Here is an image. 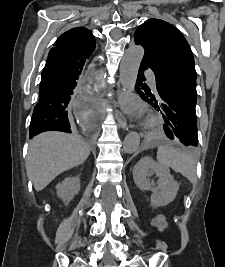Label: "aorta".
Masks as SVG:
<instances>
[{
  "mask_svg": "<svg viewBox=\"0 0 225 267\" xmlns=\"http://www.w3.org/2000/svg\"><path fill=\"white\" fill-rule=\"evenodd\" d=\"M144 56V48L140 45H131L125 52L120 64V81L128 90L135 87L138 69ZM140 144L138 133H129L123 142V150L127 154L135 153Z\"/></svg>",
  "mask_w": 225,
  "mask_h": 267,
  "instance_id": "1",
  "label": "aorta"
}]
</instances>
